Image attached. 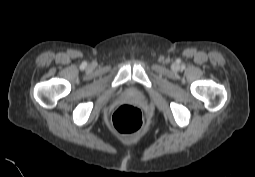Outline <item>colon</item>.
<instances>
[{
  "label": "colon",
  "instance_id": "5ec220e1",
  "mask_svg": "<svg viewBox=\"0 0 255 177\" xmlns=\"http://www.w3.org/2000/svg\"><path fill=\"white\" fill-rule=\"evenodd\" d=\"M111 124L121 134H132L142 127L143 116L137 106L123 104L114 111Z\"/></svg>",
  "mask_w": 255,
  "mask_h": 177
}]
</instances>
